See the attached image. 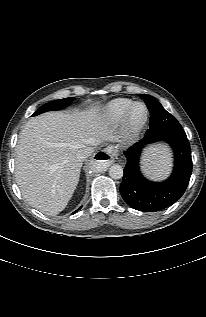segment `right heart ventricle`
Returning a JSON list of instances; mask_svg holds the SVG:
<instances>
[{"instance_id":"e07e8e85","label":"right heart ventricle","mask_w":206,"mask_h":317,"mask_svg":"<svg viewBox=\"0 0 206 317\" xmlns=\"http://www.w3.org/2000/svg\"><path fill=\"white\" fill-rule=\"evenodd\" d=\"M134 102L127 98H117L108 102L101 110L102 116L109 122L120 121Z\"/></svg>"}]
</instances>
